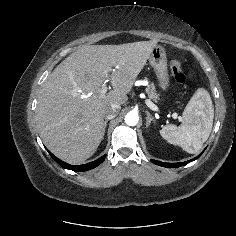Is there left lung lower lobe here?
Wrapping results in <instances>:
<instances>
[{"label": "left lung lower lobe", "mask_w": 236, "mask_h": 236, "mask_svg": "<svg viewBox=\"0 0 236 236\" xmlns=\"http://www.w3.org/2000/svg\"><path fill=\"white\" fill-rule=\"evenodd\" d=\"M203 153V152H202ZM201 153V154H202ZM201 154L198 156V157H200L201 156ZM197 157V158H198ZM196 158H194V159H191V160H189V161H185V162H179V163H164V162H161V161H156V160H151L153 163H155V164H157V165H159V166H163V167H168V168H175V167H180V166H183V165H186V164H188L189 162H191V161H193V160H195Z\"/></svg>", "instance_id": "left-lung-lower-lobe-1"}]
</instances>
